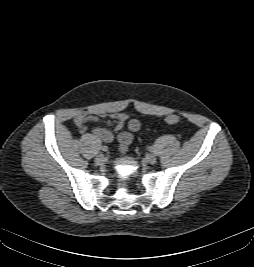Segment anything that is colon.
<instances>
[{
	"instance_id": "colon-1",
	"label": "colon",
	"mask_w": 254,
	"mask_h": 267,
	"mask_svg": "<svg viewBox=\"0 0 254 267\" xmlns=\"http://www.w3.org/2000/svg\"><path fill=\"white\" fill-rule=\"evenodd\" d=\"M165 121L167 124H176L179 122V117L175 114H170L165 118Z\"/></svg>"
}]
</instances>
